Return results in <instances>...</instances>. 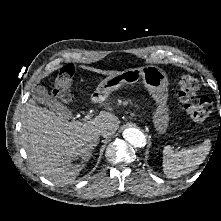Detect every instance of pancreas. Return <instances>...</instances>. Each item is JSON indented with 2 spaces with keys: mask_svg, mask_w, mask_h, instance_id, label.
<instances>
[{
  "mask_svg": "<svg viewBox=\"0 0 221 221\" xmlns=\"http://www.w3.org/2000/svg\"><path fill=\"white\" fill-rule=\"evenodd\" d=\"M119 103H121V101L119 100ZM128 102H123V104L125 105V104H127Z\"/></svg>",
  "mask_w": 221,
  "mask_h": 221,
  "instance_id": "pancreas-1",
  "label": "pancreas"
}]
</instances>
